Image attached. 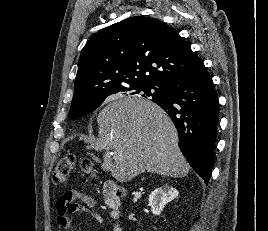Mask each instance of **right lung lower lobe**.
<instances>
[{"label":"right lung lower lobe","instance_id":"right-lung-lower-lobe-1","mask_svg":"<svg viewBox=\"0 0 268 231\" xmlns=\"http://www.w3.org/2000/svg\"><path fill=\"white\" fill-rule=\"evenodd\" d=\"M162 96L152 99L170 116L177 129L181 152L208 183L214 161L219 103L204 65L195 73L169 81Z\"/></svg>","mask_w":268,"mask_h":231}]
</instances>
